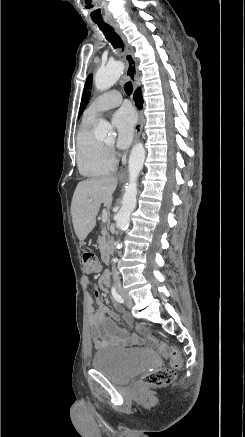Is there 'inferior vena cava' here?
I'll use <instances>...</instances> for the list:
<instances>
[{
  "label": "inferior vena cava",
  "mask_w": 245,
  "mask_h": 437,
  "mask_svg": "<svg viewBox=\"0 0 245 437\" xmlns=\"http://www.w3.org/2000/svg\"><path fill=\"white\" fill-rule=\"evenodd\" d=\"M113 271V280L117 285H120V278H119V273L118 271L113 267L112 268Z\"/></svg>",
  "instance_id": "1"
}]
</instances>
